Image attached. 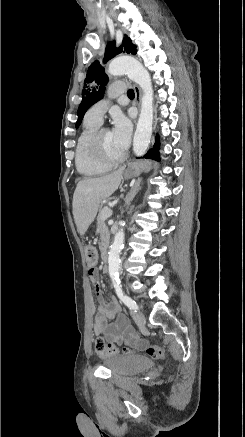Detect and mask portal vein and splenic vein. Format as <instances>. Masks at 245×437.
Returning <instances> with one entry per match:
<instances>
[{
  "label": "portal vein and splenic vein",
  "instance_id": "portal-vein-and-splenic-vein-1",
  "mask_svg": "<svg viewBox=\"0 0 245 437\" xmlns=\"http://www.w3.org/2000/svg\"><path fill=\"white\" fill-rule=\"evenodd\" d=\"M109 210H110L109 208L104 210V217L105 218H108L112 214L111 212H109Z\"/></svg>",
  "mask_w": 245,
  "mask_h": 437
}]
</instances>
